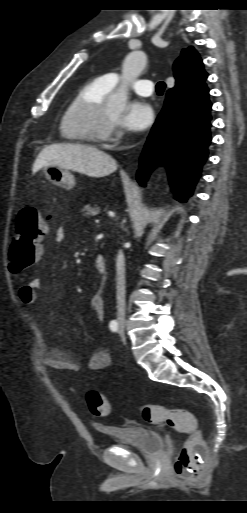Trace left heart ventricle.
I'll list each match as a JSON object with an SVG mask.
<instances>
[{
    "label": "left heart ventricle",
    "mask_w": 247,
    "mask_h": 513,
    "mask_svg": "<svg viewBox=\"0 0 247 513\" xmlns=\"http://www.w3.org/2000/svg\"><path fill=\"white\" fill-rule=\"evenodd\" d=\"M106 114L109 119L115 120V118L118 116V112L112 108L110 105L106 106Z\"/></svg>",
    "instance_id": "1"
}]
</instances>
